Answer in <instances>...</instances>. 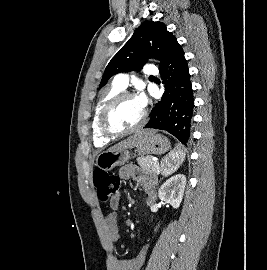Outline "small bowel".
I'll list each match as a JSON object with an SVG mask.
<instances>
[{
  "instance_id": "1",
  "label": "small bowel",
  "mask_w": 267,
  "mask_h": 270,
  "mask_svg": "<svg viewBox=\"0 0 267 270\" xmlns=\"http://www.w3.org/2000/svg\"><path fill=\"white\" fill-rule=\"evenodd\" d=\"M119 175L122 179H132L138 183L142 192L146 195V203L152 205L155 201L154 183L150 177L142 175L134 165L121 168ZM120 204L119 196H115L109 203L111 212L105 218L107 236L111 243L120 239L117 209ZM147 246L141 249L138 255L132 259L115 258L114 265L117 270H140L147 255Z\"/></svg>"
}]
</instances>
